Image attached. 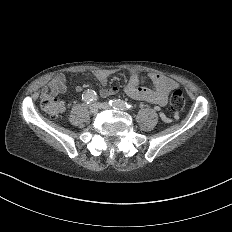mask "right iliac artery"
Segmentation results:
<instances>
[{
  "label": "right iliac artery",
  "instance_id": "obj_1",
  "mask_svg": "<svg viewBox=\"0 0 232 232\" xmlns=\"http://www.w3.org/2000/svg\"><path fill=\"white\" fill-rule=\"evenodd\" d=\"M98 99L97 93L94 90H86L82 93V100L85 103H92Z\"/></svg>",
  "mask_w": 232,
  "mask_h": 232
}]
</instances>
